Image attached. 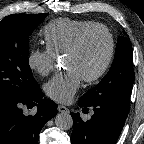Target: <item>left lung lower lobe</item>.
Here are the masks:
<instances>
[{
	"mask_svg": "<svg viewBox=\"0 0 144 144\" xmlns=\"http://www.w3.org/2000/svg\"><path fill=\"white\" fill-rule=\"evenodd\" d=\"M80 107H87L79 102ZM89 107V106H88ZM94 115L84 122L79 113L72 114V144H115L123 129L129 109L112 102L92 105Z\"/></svg>",
	"mask_w": 144,
	"mask_h": 144,
	"instance_id": "0a47b994",
	"label": "left lung lower lobe"
}]
</instances>
